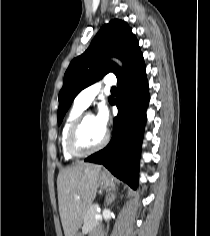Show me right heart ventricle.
I'll use <instances>...</instances> for the list:
<instances>
[{
  "instance_id": "obj_1",
  "label": "right heart ventricle",
  "mask_w": 210,
  "mask_h": 236,
  "mask_svg": "<svg viewBox=\"0 0 210 236\" xmlns=\"http://www.w3.org/2000/svg\"><path fill=\"white\" fill-rule=\"evenodd\" d=\"M84 109L85 108L74 103L71 111L69 112L63 124L62 130H61V136H60V145H61V151H62L63 157L66 160H72L75 158V156L71 155L66 148V138H67L68 130L72 122L76 119L77 116H79L83 112Z\"/></svg>"
}]
</instances>
